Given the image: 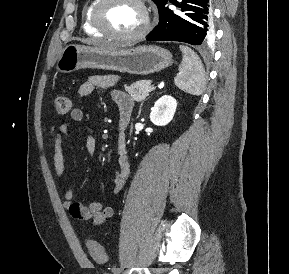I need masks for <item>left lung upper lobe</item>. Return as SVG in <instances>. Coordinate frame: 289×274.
I'll return each instance as SVG.
<instances>
[{
	"mask_svg": "<svg viewBox=\"0 0 289 274\" xmlns=\"http://www.w3.org/2000/svg\"><path fill=\"white\" fill-rule=\"evenodd\" d=\"M158 7V10L161 9V7L164 5V3L167 1V0H152Z\"/></svg>",
	"mask_w": 289,
	"mask_h": 274,
	"instance_id": "5c2ea615",
	"label": "left lung upper lobe"
}]
</instances>
